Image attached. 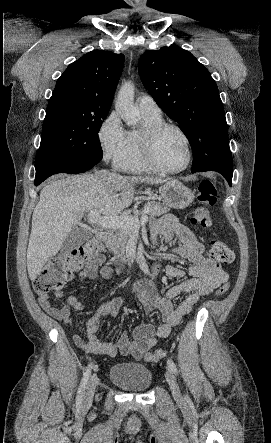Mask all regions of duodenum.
Wrapping results in <instances>:
<instances>
[{"label":"duodenum","mask_w":271,"mask_h":443,"mask_svg":"<svg viewBox=\"0 0 271 443\" xmlns=\"http://www.w3.org/2000/svg\"><path fill=\"white\" fill-rule=\"evenodd\" d=\"M96 237L99 241L107 243L111 240L112 235L108 231H99Z\"/></svg>","instance_id":"obj_1"}]
</instances>
